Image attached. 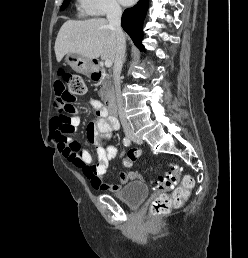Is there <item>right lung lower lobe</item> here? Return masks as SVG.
Masks as SVG:
<instances>
[{
  "mask_svg": "<svg viewBox=\"0 0 248 258\" xmlns=\"http://www.w3.org/2000/svg\"><path fill=\"white\" fill-rule=\"evenodd\" d=\"M149 0H140L134 7L126 9L122 16L121 25L133 40L134 44L143 50L142 22L148 9Z\"/></svg>",
  "mask_w": 248,
  "mask_h": 258,
  "instance_id": "1",
  "label": "right lung lower lobe"
}]
</instances>
